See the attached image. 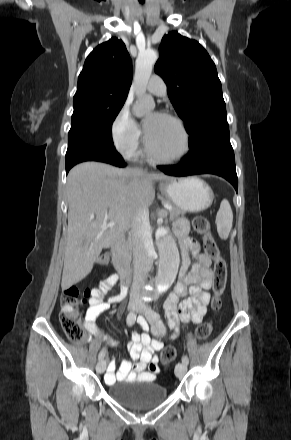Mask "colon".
Masks as SVG:
<instances>
[{
  "label": "colon",
  "instance_id": "obj_1",
  "mask_svg": "<svg viewBox=\"0 0 291 440\" xmlns=\"http://www.w3.org/2000/svg\"><path fill=\"white\" fill-rule=\"evenodd\" d=\"M192 224L196 233L204 235L203 243L205 253L214 262L213 291L215 299L213 300V306L214 308H218L220 306L219 297L223 293L226 285L227 265L220 255L214 238L210 234L209 220L204 216H196ZM107 262V258L102 259L103 264H107ZM97 289L98 288H84L81 290L78 285H72L62 292L59 321L68 340L73 343H81L85 339V331L79 320V304L83 299L91 297ZM211 331V324L203 323L198 327L196 337L199 340H204L210 335ZM175 356L176 349L173 346H167L161 354L163 366H167Z\"/></svg>",
  "mask_w": 291,
  "mask_h": 440
}]
</instances>
